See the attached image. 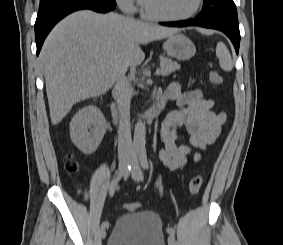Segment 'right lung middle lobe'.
Instances as JSON below:
<instances>
[{
  "mask_svg": "<svg viewBox=\"0 0 283 245\" xmlns=\"http://www.w3.org/2000/svg\"><path fill=\"white\" fill-rule=\"evenodd\" d=\"M49 1H52V0H40V4H44V3L49 2Z\"/></svg>",
  "mask_w": 283,
  "mask_h": 245,
  "instance_id": "obj_1",
  "label": "right lung middle lobe"
}]
</instances>
